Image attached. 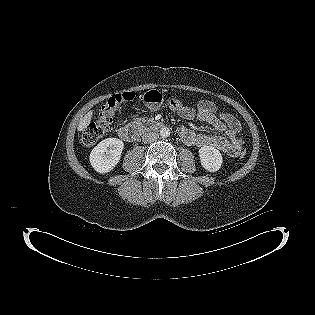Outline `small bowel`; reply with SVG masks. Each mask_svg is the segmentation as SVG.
<instances>
[{
  "mask_svg": "<svg viewBox=\"0 0 315 315\" xmlns=\"http://www.w3.org/2000/svg\"><path fill=\"white\" fill-rule=\"evenodd\" d=\"M185 119L197 118L212 125L222 135L198 133L195 130L181 126L179 135L183 143L189 146H213L228 156H238L242 149L243 138L240 122L230 113L218 110L215 103L209 100L199 101L196 107L184 105L172 109Z\"/></svg>",
  "mask_w": 315,
  "mask_h": 315,
  "instance_id": "small-bowel-1",
  "label": "small bowel"
}]
</instances>
